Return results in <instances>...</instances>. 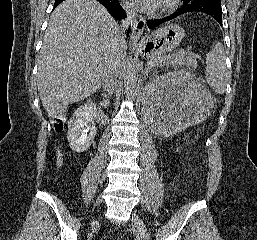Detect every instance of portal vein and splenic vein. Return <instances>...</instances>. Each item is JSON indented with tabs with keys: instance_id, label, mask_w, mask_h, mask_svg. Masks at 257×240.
<instances>
[{
	"instance_id": "portal-vein-and-splenic-vein-1",
	"label": "portal vein and splenic vein",
	"mask_w": 257,
	"mask_h": 240,
	"mask_svg": "<svg viewBox=\"0 0 257 240\" xmlns=\"http://www.w3.org/2000/svg\"><path fill=\"white\" fill-rule=\"evenodd\" d=\"M162 60H166V58H160L159 61H162ZM157 62L156 61H151L147 64V68H151L152 66H154Z\"/></svg>"
}]
</instances>
